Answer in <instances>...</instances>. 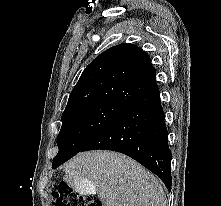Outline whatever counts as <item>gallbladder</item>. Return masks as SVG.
Masks as SVG:
<instances>
[{
  "label": "gallbladder",
  "instance_id": "gallbladder-1",
  "mask_svg": "<svg viewBox=\"0 0 221 206\" xmlns=\"http://www.w3.org/2000/svg\"><path fill=\"white\" fill-rule=\"evenodd\" d=\"M65 181L70 186L72 194H86L87 198H90L91 194H95L94 185H89V181H69L68 179Z\"/></svg>",
  "mask_w": 221,
  "mask_h": 206
}]
</instances>
